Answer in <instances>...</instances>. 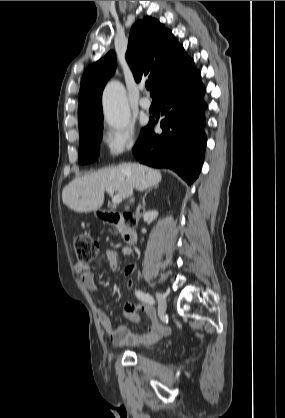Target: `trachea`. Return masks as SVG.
I'll use <instances>...</instances> for the list:
<instances>
[{"label":"trachea","instance_id":"obj_1","mask_svg":"<svg viewBox=\"0 0 285 418\" xmlns=\"http://www.w3.org/2000/svg\"><path fill=\"white\" fill-rule=\"evenodd\" d=\"M146 88L147 89H151L152 88V84L151 83L146 84Z\"/></svg>","mask_w":285,"mask_h":418}]
</instances>
